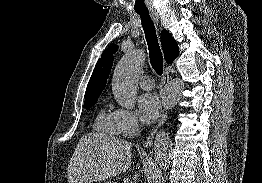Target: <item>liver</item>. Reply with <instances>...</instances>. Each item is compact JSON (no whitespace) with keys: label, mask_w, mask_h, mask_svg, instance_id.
I'll use <instances>...</instances> for the list:
<instances>
[{"label":"liver","mask_w":262,"mask_h":183,"mask_svg":"<svg viewBox=\"0 0 262 183\" xmlns=\"http://www.w3.org/2000/svg\"><path fill=\"white\" fill-rule=\"evenodd\" d=\"M132 144L106 133L83 135L68 165V183H92L126 172Z\"/></svg>","instance_id":"liver-1"}]
</instances>
